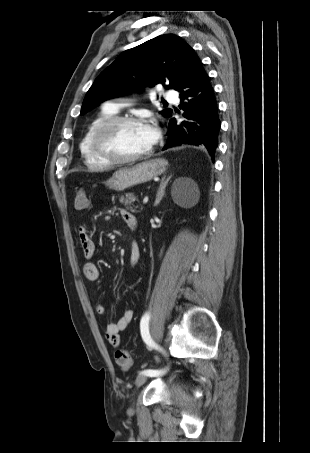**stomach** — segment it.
Masks as SVG:
<instances>
[{
  "mask_svg": "<svg viewBox=\"0 0 310 453\" xmlns=\"http://www.w3.org/2000/svg\"><path fill=\"white\" fill-rule=\"evenodd\" d=\"M167 165L168 162L165 159L157 158L138 163L132 167L121 168L107 180L106 185L110 189L123 191L161 175L165 172Z\"/></svg>",
  "mask_w": 310,
  "mask_h": 453,
  "instance_id": "0dacf381",
  "label": "stomach"
}]
</instances>
